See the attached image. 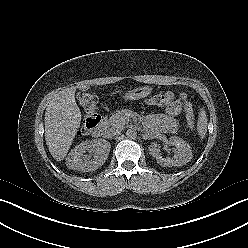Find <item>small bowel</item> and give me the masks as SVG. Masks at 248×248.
I'll return each mask as SVG.
<instances>
[{"label":"small bowel","mask_w":248,"mask_h":248,"mask_svg":"<svg viewBox=\"0 0 248 248\" xmlns=\"http://www.w3.org/2000/svg\"><path fill=\"white\" fill-rule=\"evenodd\" d=\"M168 94V100L162 104L164 107V113L157 119H153L150 123L158 130L164 132H171L174 129L173 118L181 111V103L172 99V95ZM150 103L151 100L149 101Z\"/></svg>","instance_id":"small-bowel-1"}]
</instances>
